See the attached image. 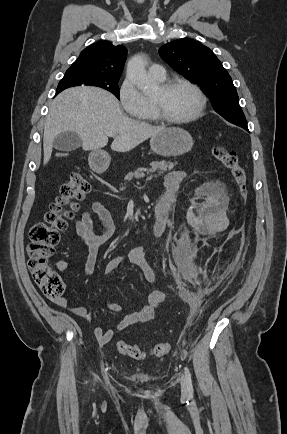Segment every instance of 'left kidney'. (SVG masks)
Wrapping results in <instances>:
<instances>
[{
  "instance_id": "obj_1",
  "label": "left kidney",
  "mask_w": 287,
  "mask_h": 434,
  "mask_svg": "<svg viewBox=\"0 0 287 434\" xmlns=\"http://www.w3.org/2000/svg\"><path fill=\"white\" fill-rule=\"evenodd\" d=\"M203 189L206 198L205 203L202 205V212L209 211V209L214 207L218 208L220 206H223L225 198L217 186H215L214 184L206 183L203 185ZM195 208L196 206H193L187 212V221L193 227H197L200 223V218L197 217L193 212V209Z\"/></svg>"
}]
</instances>
